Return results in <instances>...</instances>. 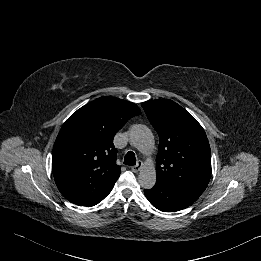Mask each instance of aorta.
I'll return each instance as SVG.
<instances>
[{
	"label": "aorta",
	"mask_w": 261,
	"mask_h": 261,
	"mask_svg": "<svg viewBox=\"0 0 261 261\" xmlns=\"http://www.w3.org/2000/svg\"><path fill=\"white\" fill-rule=\"evenodd\" d=\"M130 143L141 153L148 154L154 147V136L145 125H134L130 130ZM139 184L151 189L156 183V170L153 164H146L138 175Z\"/></svg>",
	"instance_id": "aorta-1"
}]
</instances>
